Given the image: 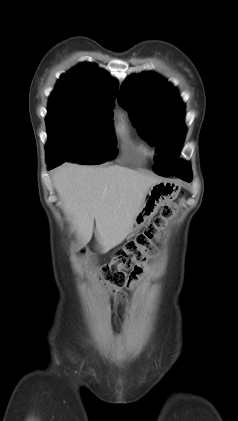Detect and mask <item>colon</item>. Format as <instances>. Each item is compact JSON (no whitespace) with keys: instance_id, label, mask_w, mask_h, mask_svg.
Returning <instances> with one entry per match:
<instances>
[{"instance_id":"colon-1","label":"colon","mask_w":238,"mask_h":421,"mask_svg":"<svg viewBox=\"0 0 238 421\" xmlns=\"http://www.w3.org/2000/svg\"><path fill=\"white\" fill-rule=\"evenodd\" d=\"M173 215V206L162 208L160 215L146 230L117 249L111 261L102 268V276L114 294L131 285V274L156 253V242L162 237L166 222Z\"/></svg>"}]
</instances>
